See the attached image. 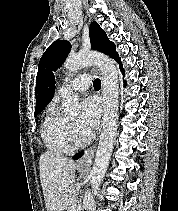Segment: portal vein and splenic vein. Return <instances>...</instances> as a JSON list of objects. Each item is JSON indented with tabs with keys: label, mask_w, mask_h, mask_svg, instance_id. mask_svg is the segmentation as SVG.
Listing matches in <instances>:
<instances>
[{
	"label": "portal vein and splenic vein",
	"mask_w": 178,
	"mask_h": 211,
	"mask_svg": "<svg viewBox=\"0 0 178 211\" xmlns=\"http://www.w3.org/2000/svg\"><path fill=\"white\" fill-rule=\"evenodd\" d=\"M76 207H77V202L75 201L71 206V211H75Z\"/></svg>",
	"instance_id": "1"
}]
</instances>
